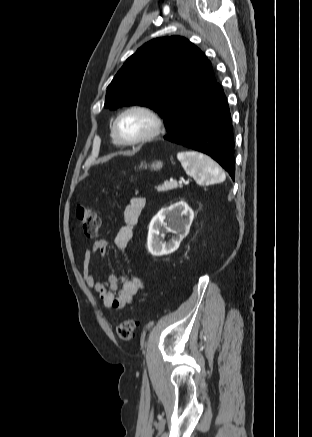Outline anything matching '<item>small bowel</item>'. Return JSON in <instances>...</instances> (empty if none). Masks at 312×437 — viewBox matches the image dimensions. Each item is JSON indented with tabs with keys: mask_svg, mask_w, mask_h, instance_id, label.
Here are the masks:
<instances>
[{
	"mask_svg": "<svg viewBox=\"0 0 312 437\" xmlns=\"http://www.w3.org/2000/svg\"><path fill=\"white\" fill-rule=\"evenodd\" d=\"M145 206V199L137 196L130 199L125 206L123 217L124 225L115 237L116 247L124 251L132 237L133 229ZM109 243L105 239L97 240L84 254L83 278L87 286L94 290L108 309L121 310L129 305L135 296L144 288L143 279L137 275H122L117 277L109 274L105 278L96 277L93 270V261L96 257H104ZM120 284V287H119Z\"/></svg>",
	"mask_w": 312,
	"mask_h": 437,
	"instance_id": "small-bowel-1",
	"label": "small bowel"
}]
</instances>
